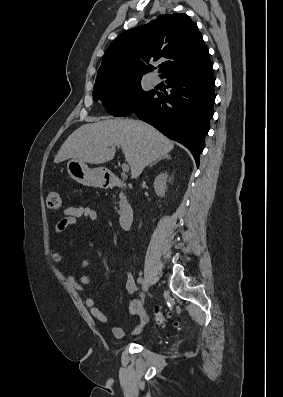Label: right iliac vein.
<instances>
[{"label":"right iliac vein","mask_w":283,"mask_h":397,"mask_svg":"<svg viewBox=\"0 0 283 397\" xmlns=\"http://www.w3.org/2000/svg\"><path fill=\"white\" fill-rule=\"evenodd\" d=\"M148 286H149V279H146V280L143 282V290H144V291L147 290Z\"/></svg>","instance_id":"63e3f726"}]
</instances>
